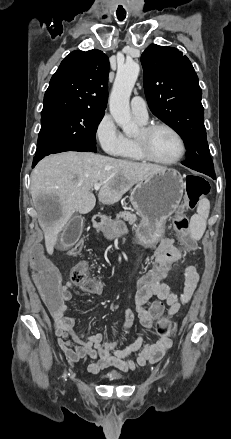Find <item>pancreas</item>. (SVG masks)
<instances>
[{"label": "pancreas", "instance_id": "1", "mask_svg": "<svg viewBox=\"0 0 231 439\" xmlns=\"http://www.w3.org/2000/svg\"><path fill=\"white\" fill-rule=\"evenodd\" d=\"M116 218H123L125 221H128L131 224H135L138 220L137 216L129 211L120 212L116 215Z\"/></svg>", "mask_w": 231, "mask_h": 439}]
</instances>
